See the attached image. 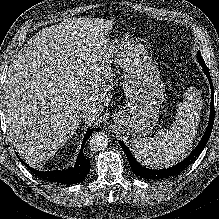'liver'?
<instances>
[{
    "label": "liver",
    "mask_w": 219,
    "mask_h": 219,
    "mask_svg": "<svg viewBox=\"0 0 219 219\" xmlns=\"http://www.w3.org/2000/svg\"><path fill=\"white\" fill-rule=\"evenodd\" d=\"M112 21L67 18L43 28L18 52L4 85V116L10 140L29 164L43 165L74 135L79 113L94 117L110 102L112 69L105 35Z\"/></svg>",
    "instance_id": "6515ba94"
}]
</instances>
